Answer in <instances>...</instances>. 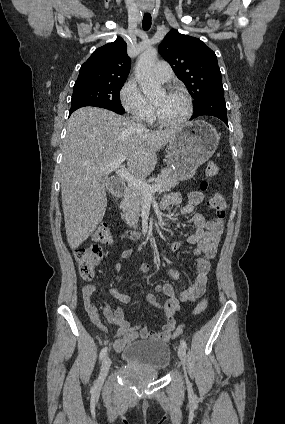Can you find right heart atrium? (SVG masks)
Returning a JSON list of instances; mask_svg holds the SVG:
<instances>
[{
	"label": "right heart atrium",
	"instance_id": "right-heart-atrium-1",
	"mask_svg": "<svg viewBox=\"0 0 285 424\" xmlns=\"http://www.w3.org/2000/svg\"><path fill=\"white\" fill-rule=\"evenodd\" d=\"M119 98L123 108L132 118L138 121H149L152 118L153 107L134 79H128L124 83Z\"/></svg>",
	"mask_w": 285,
	"mask_h": 424
}]
</instances>
